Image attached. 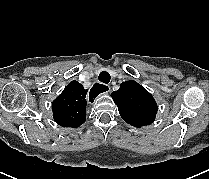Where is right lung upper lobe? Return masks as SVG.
<instances>
[{
  "instance_id": "right-lung-upper-lobe-1",
  "label": "right lung upper lobe",
  "mask_w": 209,
  "mask_h": 179,
  "mask_svg": "<svg viewBox=\"0 0 209 179\" xmlns=\"http://www.w3.org/2000/svg\"><path fill=\"white\" fill-rule=\"evenodd\" d=\"M87 90L76 80L53 101L54 120L62 127L76 128L86 120Z\"/></svg>"
}]
</instances>
